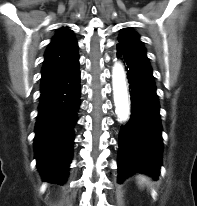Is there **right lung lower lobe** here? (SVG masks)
Listing matches in <instances>:
<instances>
[{"label": "right lung lower lobe", "instance_id": "right-lung-lower-lobe-1", "mask_svg": "<svg viewBox=\"0 0 197 206\" xmlns=\"http://www.w3.org/2000/svg\"><path fill=\"white\" fill-rule=\"evenodd\" d=\"M78 59L67 72L41 87L34 148L37 167L50 183L65 181L72 160L73 127L80 105Z\"/></svg>", "mask_w": 197, "mask_h": 206}]
</instances>
